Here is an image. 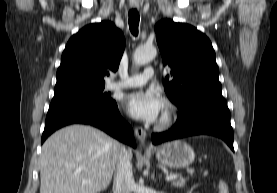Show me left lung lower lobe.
<instances>
[{
    "label": "left lung lower lobe",
    "mask_w": 277,
    "mask_h": 193,
    "mask_svg": "<svg viewBox=\"0 0 277 193\" xmlns=\"http://www.w3.org/2000/svg\"><path fill=\"white\" fill-rule=\"evenodd\" d=\"M214 135L233 148V129L230 111L222 94L201 96L179 112L175 126L166 132L152 135V142L159 144L192 135Z\"/></svg>",
    "instance_id": "1"
}]
</instances>
